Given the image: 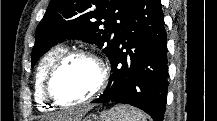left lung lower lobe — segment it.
Here are the masks:
<instances>
[{
    "label": "left lung lower lobe",
    "mask_w": 217,
    "mask_h": 121,
    "mask_svg": "<svg viewBox=\"0 0 217 121\" xmlns=\"http://www.w3.org/2000/svg\"><path fill=\"white\" fill-rule=\"evenodd\" d=\"M110 62L107 88L92 103L130 104L163 121L168 68L160 0H136Z\"/></svg>",
    "instance_id": "1"
}]
</instances>
